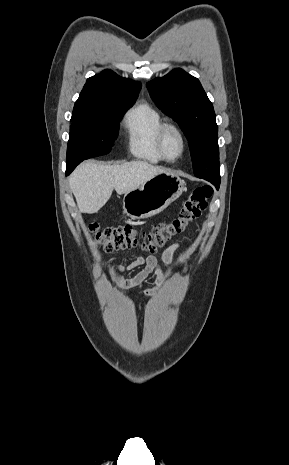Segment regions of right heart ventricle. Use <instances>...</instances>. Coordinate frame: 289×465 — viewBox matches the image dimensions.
<instances>
[{
  "mask_svg": "<svg viewBox=\"0 0 289 465\" xmlns=\"http://www.w3.org/2000/svg\"><path fill=\"white\" fill-rule=\"evenodd\" d=\"M164 119L151 104L143 102L131 108L124 117L130 152L137 158L151 163L163 161L158 147L157 136Z\"/></svg>",
  "mask_w": 289,
  "mask_h": 465,
  "instance_id": "obj_1",
  "label": "right heart ventricle"
}]
</instances>
